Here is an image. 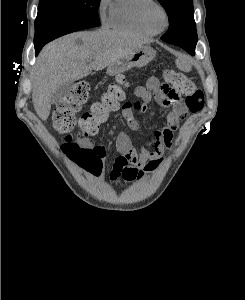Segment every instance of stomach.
<instances>
[{"instance_id": "stomach-1", "label": "stomach", "mask_w": 245, "mask_h": 300, "mask_svg": "<svg viewBox=\"0 0 245 300\" xmlns=\"http://www.w3.org/2000/svg\"><path fill=\"white\" fill-rule=\"evenodd\" d=\"M155 57V51L150 47H140L132 51L124 58L110 64L107 73L110 76L119 75L133 67L141 68L151 62Z\"/></svg>"}]
</instances>
